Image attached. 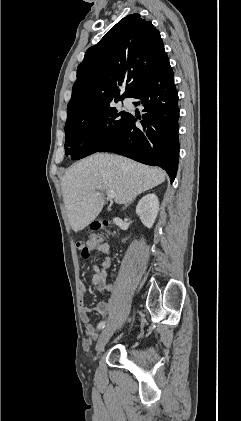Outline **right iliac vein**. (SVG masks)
Listing matches in <instances>:
<instances>
[{
	"instance_id": "63e3f726",
	"label": "right iliac vein",
	"mask_w": 241,
	"mask_h": 421,
	"mask_svg": "<svg viewBox=\"0 0 241 421\" xmlns=\"http://www.w3.org/2000/svg\"><path fill=\"white\" fill-rule=\"evenodd\" d=\"M114 330H115L114 327H107L101 332L98 342L96 344L97 354H100L104 350V347L106 346L107 342L111 338Z\"/></svg>"
}]
</instances>
